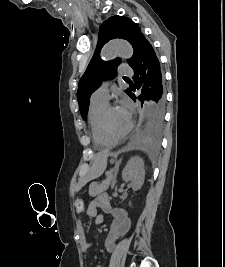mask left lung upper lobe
Returning a JSON list of instances; mask_svg holds the SVG:
<instances>
[{"instance_id": "1", "label": "left lung upper lobe", "mask_w": 225, "mask_h": 267, "mask_svg": "<svg viewBox=\"0 0 225 267\" xmlns=\"http://www.w3.org/2000/svg\"><path fill=\"white\" fill-rule=\"evenodd\" d=\"M140 28L131 19L124 16H112L104 21L99 29L98 44L95 53L81 77L78 85L77 99L82 118L85 120L89 108L91 94L100 86L101 81L106 77H115L116 67L120 63L117 58L114 61L104 62L100 59L101 48L109 40L120 38L129 41L134 49V54L128 60L131 66L138 53L140 42L143 38ZM130 89L126 90L129 93ZM164 110L158 106L151 107L150 126L155 135H158L163 126Z\"/></svg>"}]
</instances>
